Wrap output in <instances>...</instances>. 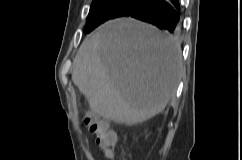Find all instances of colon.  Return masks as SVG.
<instances>
[{"instance_id": "1", "label": "colon", "mask_w": 242, "mask_h": 160, "mask_svg": "<svg viewBox=\"0 0 242 160\" xmlns=\"http://www.w3.org/2000/svg\"><path fill=\"white\" fill-rule=\"evenodd\" d=\"M84 124L96 136L97 145L107 156H111V149L115 142V134L108 129V123L93 113H87L84 118Z\"/></svg>"}]
</instances>
